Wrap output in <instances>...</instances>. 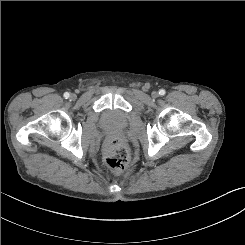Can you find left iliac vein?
I'll use <instances>...</instances> for the list:
<instances>
[{"label": "left iliac vein", "mask_w": 245, "mask_h": 245, "mask_svg": "<svg viewBox=\"0 0 245 245\" xmlns=\"http://www.w3.org/2000/svg\"><path fill=\"white\" fill-rule=\"evenodd\" d=\"M152 97H154V98L158 97V93L157 92H152Z\"/></svg>", "instance_id": "4c4485c4"}]
</instances>
